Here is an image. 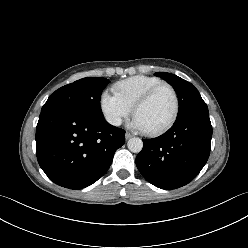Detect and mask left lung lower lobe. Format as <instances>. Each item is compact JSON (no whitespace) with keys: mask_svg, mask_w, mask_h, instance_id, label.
Segmentation results:
<instances>
[{"mask_svg":"<svg viewBox=\"0 0 248 248\" xmlns=\"http://www.w3.org/2000/svg\"><path fill=\"white\" fill-rule=\"evenodd\" d=\"M212 126L208 108L176 120L163 135L143 139L136 165L151 184L165 190L191 182L206 164L211 147Z\"/></svg>","mask_w":248,"mask_h":248,"instance_id":"1","label":"left lung lower lobe"}]
</instances>
